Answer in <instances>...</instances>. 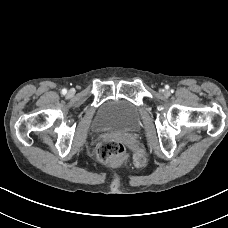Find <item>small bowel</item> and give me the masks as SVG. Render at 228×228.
I'll use <instances>...</instances> for the list:
<instances>
[{"label":"small bowel","instance_id":"obj_1","mask_svg":"<svg viewBox=\"0 0 228 228\" xmlns=\"http://www.w3.org/2000/svg\"><path fill=\"white\" fill-rule=\"evenodd\" d=\"M134 161L137 166H142L144 164V159L141 155H136Z\"/></svg>","mask_w":228,"mask_h":228}]
</instances>
